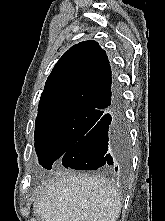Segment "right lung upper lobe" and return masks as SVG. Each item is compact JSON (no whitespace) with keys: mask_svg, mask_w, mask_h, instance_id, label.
Here are the masks:
<instances>
[{"mask_svg":"<svg viewBox=\"0 0 165 221\" xmlns=\"http://www.w3.org/2000/svg\"><path fill=\"white\" fill-rule=\"evenodd\" d=\"M114 87L106 52L95 41L80 42L55 64L41 94L38 111L100 112L111 103Z\"/></svg>","mask_w":165,"mask_h":221,"instance_id":"cb5924a9","label":"right lung upper lobe"}]
</instances>
